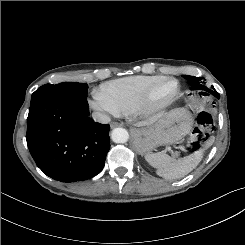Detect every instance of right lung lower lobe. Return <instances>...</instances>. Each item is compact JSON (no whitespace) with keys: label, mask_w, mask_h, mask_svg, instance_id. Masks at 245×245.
<instances>
[{"label":"right lung lower lobe","mask_w":245,"mask_h":245,"mask_svg":"<svg viewBox=\"0 0 245 245\" xmlns=\"http://www.w3.org/2000/svg\"><path fill=\"white\" fill-rule=\"evenodd\" d=\"M109 125L89 117L86 99L49 96L31 103L26 140L37 166L62 182L87 180L104 167Z\"/></svg>","instance_id":"1"}]
</instances>
